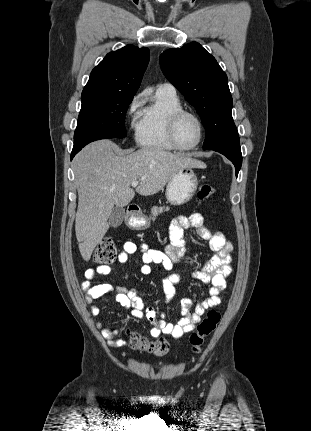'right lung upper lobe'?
I'll use <instances>...</instances> for the list:
<instances>
[{
	"instance_id": "1",
	"label": "right lung upper lobe",
	"mask_w": 311,
	"mask_h": 431,
	"mask_svg": "<svg viewBox=\"0 0 311 431\" xmlns=\"http://www.w3.org/2000/svg\"><path fill=\"white\" fill-rule=\"evenodd\" d=\"M149 58L148 48L133 45L108 53L92 70L83 92L135 95Z\"/></svg>"
}]
</instances>
